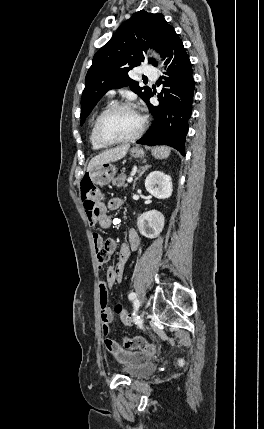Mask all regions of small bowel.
<instances>
[{"instance_id":"c3829d8e","label":"small bowel","mask_w":264,"mask_h":429,"mask_svg":"<svg viewBox=\"0 0 264 429\" xmlns=\"http://www.w3.org/2000/svg\"><path fill=\"white\" fill-rule=\"evenodd\" d=\"M123 200L115 197L108 201L107 205L100 206L97 213L93 215L87 214L88 223L91 226L100 225L101 227L108 228L113 224L112 217L108 211L118 210L122 207ZM94 248L97 253V260L99 263V270L101 265L104 264L110 255L117 249L116 241L112 238L103 240V238L94 233L92 236ZM139 245V237L133 228L126 231V240L118 249L117 261L114 265L108 267L106 271V279L99 285V300L101 309V324L102 332L106 336L104 345L107 351L112 354L119 362L134 365L147 361L155 352V346L147 343L145 340V347L143 349H127L118 341L107 337L110 333V324L113 321L114 315L108 305V289L115 283L122 281L124 267L130 257L132 251L136 250Z\"/></svg>"}]
</instances>
